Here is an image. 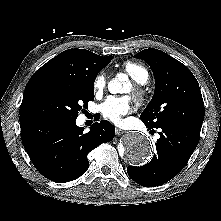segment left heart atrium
<instances>
[{
  "mask_svg": "<svg viewBox=\"0 0 221 221\" xmlns=\"http://www.w3.org/2000/svg\"><path fill=\"white\" fill-rule=\"evenodd\" d=\"M132 110V105L127 97H108L101 105L103 117L117 125L123 122L122 117Z\"/></svg>",
  "mask_w": 221,
  "mask_h": 221,
  "instance_id": "39dd6f15",
  "label": "left heart atrium"
}]
</instances>
